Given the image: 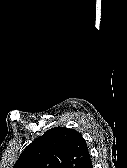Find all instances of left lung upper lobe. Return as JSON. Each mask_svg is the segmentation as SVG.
Segmentation results:
<instances>
[{
    "label": "left lung upper lobe",
    "mask_w": 127,
    "mask_h": 168,
    "mask_svg": "<svg viewBox=\"0 0 127 168\" xmlns=\"http://www.w3.org/2000/svg\"><path fill=\"white\" fill-rule=\"evenodd\" d=\"M87 151L79 132L54 127L28 145L13 168H81Z\"/></svg>",
    "instance_id": "left-lung-upper-lobe-1"
}]
</instances>
